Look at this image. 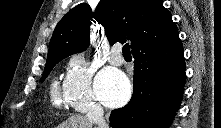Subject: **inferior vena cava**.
<instances>
[{"mask_svg": "<svg viewBox=\"0 0 221 128\" xmlns=\"http://www.w3.org/2000/svg\"><path fill=\"white\" fill-rule=\"evenodd\" d=\"M103 114V107L98 103H93L89 106L86 117L90 122L96 123L98 128H108V124L103 118Z\"/></svg>", "mask_w": 221, "mask_h": 128, "instance_id": "inferior-vena-cava-1", "label": "inferior vena cava"}]
</instances>
